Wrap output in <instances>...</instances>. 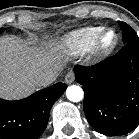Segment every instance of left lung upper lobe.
I'll return each instance as SVG.
<instances>
[{"mask_svg": "<svg viewBox=\"0 0 139 139\" xmlns=\"http://www.w3.org/2000/svg\"><path fill=\"white\" fill-rule=\"evenodd\" d=\"M119 25L121 26L123 32V42L129 43L131 41H139V37L136 32L126 23L119 21Z\"/></svg>", "mask_w": 139, "mask_h": 139, "instance_id": "obj_1", "label": "left lung upper lobe"}]
</instances>
